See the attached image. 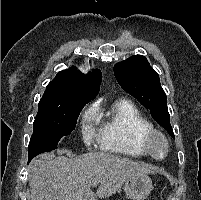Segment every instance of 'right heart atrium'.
Wrapping results in <instances>:
<instances>
[{
	"mask_svg": "<svg viewBox=\"0 0 201 200\" xmlns=\"http://www.w3.org/2000/svg\"><path fill=\"white\" fill-rule=\"evenodd\" d=\"M95 119V111L93 109L87 110L82 119V135L87 144H91L96 138L97 134L93 128L92 122Z\"/></svg>",
	"mask_w": 201,
	"mask_h": 200,
	"instance_id": "1",
	"label": "right heart atrium"
}]
</instances>
